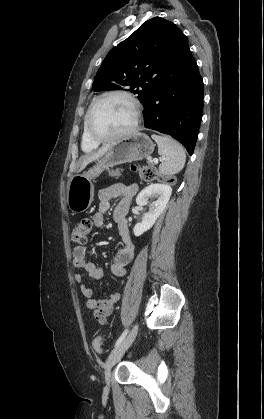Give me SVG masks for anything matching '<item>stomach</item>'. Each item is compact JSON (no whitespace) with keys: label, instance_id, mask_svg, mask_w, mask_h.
<instances>
[{"label":"stomach","instance_id":"1","mask_svg":"<svg viewBox=\"0 0 264 419\" xmlns=\"http://www.w3.org/2000/svg\"><path fill=\"white\" fill-rule=\"evenodd\" d=\"M108 151L87 172L74 175L67 188V205L74 213L86 211L94 198V181L106 169L115 165L148 158L154 151V143L143 133L110 144Z\"/></svg>","mask_w":264,"mask_h":419}]
</instances>
